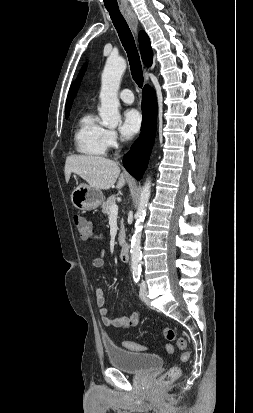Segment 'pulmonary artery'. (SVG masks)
<instances>
[{
  "mask_svg": "<svg viewBox=\"0 0 253 413\" xmlns=\"http://www.w3.org/2000/svg\"><path fill=\"white\" fill-rule=\"evenodd\" d=\"M119 97L123 102L127 104H131L134 101V95L130 89H123L119 93Z\"/></svg>",
  "mask_w": 253,
  "mask_h": 413,
  "instance_id": "1",
  "label": "pulmonary artery"
}]
</instances>
